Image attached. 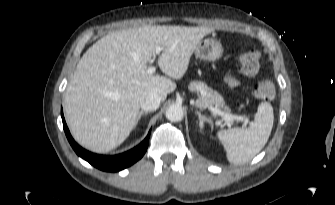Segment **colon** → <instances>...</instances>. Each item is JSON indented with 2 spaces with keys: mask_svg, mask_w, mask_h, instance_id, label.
Here are the masks:
<instances>
[{
  "mask_svg": "<svg viewBox=\"0 0 335 205\" xmlns=\"http://www.w3.org/2000/svg\"><path fill=\"white\" fill-rule=\"evenodd\" d=\"M239 64L246 75H256L260 69V53L255 49L244 53ZM253 93L259 99L271 100L276 96V87L272 80L263 79L254 85Z\"/></svg>",
  "mask_w": 335,
  "mask_h": 205,
  "instance_id": "5ec220e1",
  "label": "colon"
}]
</instances>
